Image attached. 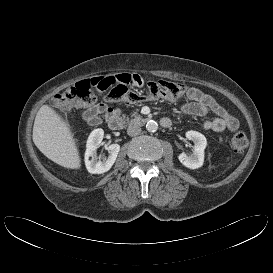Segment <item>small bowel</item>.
Segmentation results:
<instances>
[{
	"label": "small bowel",
	"mask_w": 273,
	"mask_h": 273,
	"mask_svg": "<svg viewBox=\"0 0 273 273\" xmlns=\"http://www.w3.org/2000/svg\"><path fill=\"white\" fill-rule=\"evenodd\" d=\"M137 85H142V79L138 76ZM140 102V101H139ZM185 115L204 116L213 113L214 117L203 122V128L208 131L222 132L236 131L239 128L238 120L222 107L212 96L198 88H190L186 92V101L179 107ZM119 110L112 109L108 105L100 103L89 107L83 113V119L89 125L95 126L101 122L102 116L108 117L118 113Z\"/></svg>",
	"instance_id": "c3829d8e"
}]
</instances>
